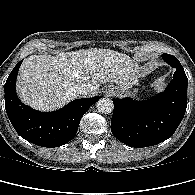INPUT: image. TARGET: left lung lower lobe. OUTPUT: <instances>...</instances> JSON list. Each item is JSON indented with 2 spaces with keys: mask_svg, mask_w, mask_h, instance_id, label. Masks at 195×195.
Wrapping results in <instances>:
<instances>
[{
  "mask_svg": "<svg viewBox=\"0 0 195 195\" xmlns=\"http://www.w3.org/2000/svg\"><path fill=\"white\" fill-rule=\"evenodd\" d=\"M173 67L176 71L164 92L145 101L113 100L111 131L118 140L142 148L174 134L186 112L188 79L182 65Z\"/></svg>",
  "mask_w": 195,
  "mask_h": 195,
  "instance_id": "obj_1",
  "label": "left lung lower lobe"
}]
</instances>
